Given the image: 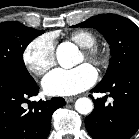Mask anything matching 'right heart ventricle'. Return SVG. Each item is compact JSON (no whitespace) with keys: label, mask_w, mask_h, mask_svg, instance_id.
Masks as SVG:
<instances>
[{"label":"right heart ventricle","mask_w":139,"mask_h":139,"mask_svg":"<svg viewBox=\"0 0 139 139\" xmlns=\"http://www.w3.org/2000/svg\"><path fill=\"white\" fill-rule=\"evenodd\" d=\"M70 38L81 48L93 47L97 44L96 36L86 30H78L71 33Z\"/></svg>","instance_id":"e07e8e85"}]
</instances>
